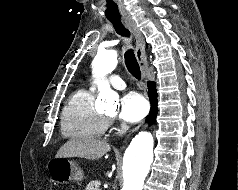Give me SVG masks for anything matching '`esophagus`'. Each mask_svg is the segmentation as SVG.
<instances>
[{
  "label": "esophagus",
  "mask_w": 238,
  "mask_h": 190,
  "mask_svg": "<svg viewBox=\"0 0 238 190\" xmlns=\"http://www.w3.org/2000/svg\"><path fill=\"white\" fill-rule=\"evenodd\" d=\"M124 25L132 32L135 38V55L136 59L139 63L142 75L146 78V71H147V57L145 53V41L142 33L140 32L139 28L137 27L136 23L131 18H124L123 19ZM141 125L137 126L133 129L127 136L126 140L140 128Z\"/></svg>",
  "instance_id": "1"
}]
</instances>
